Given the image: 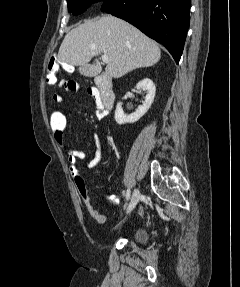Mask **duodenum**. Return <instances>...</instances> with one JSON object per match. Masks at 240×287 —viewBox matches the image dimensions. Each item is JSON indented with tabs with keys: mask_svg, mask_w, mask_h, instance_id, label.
<instances>
[{
	"mask_svg": "<svg viewBox=\"0 0 240 287\" xmlns=\"http://www.w3.org/2000/svg\"><path fill=\"white\" fill-rule=\"evenodd\" d=\"M96 86L104 107L108 110L111 109L115 102V95L112 89V80L107 76L98 77L96 80Z\"/></svg>",
	"mask_w": 240,
	"mask_h": 287,
	"instance_id": "obj_1",
	"label": "duodenum"
}]
</instances>
